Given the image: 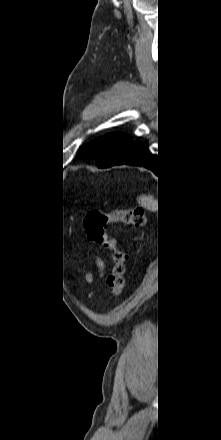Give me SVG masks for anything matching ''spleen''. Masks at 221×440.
Returning <instances> with one entry per match:
<instances>
[{
	"label": "spleen",
	"instance_id": "spleen-1",
	"mask_svg": "<svg viewBox=\"0 0 221 440\" xmlns=\"http://www.w3.org/2000/svg\"><path fill=\"white\" fill-rule=\"evenodd\" d=\"M138 203L148 211H157V199L152 195H141L137 198Z\"/></svg>",
	"mask_w": 221,
	"mask_h": 440
}]
</instances>
